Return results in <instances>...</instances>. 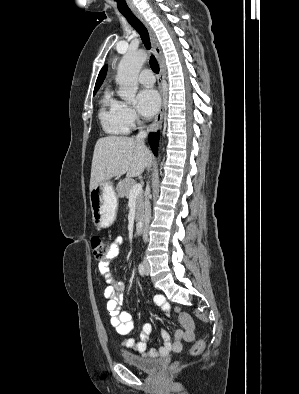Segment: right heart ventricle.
<instances>
[{"instance_id":"right-heart-ventricle-1","label":"right heart ventricle","mask_w":299,"mask_h":394,"mask_svg":"<svg viewBox=\"0 0 299 394\" xmlns=\"http://www.w3.org/2000/svg\"><path fill=\"white\" fill-rule=\"evenodd\" d=\"M124 104L117 100L110 91H106L101 99L99 118L104 131L110 135L128 133V126L123 116Z\"/></svg>"}]
</instances>
